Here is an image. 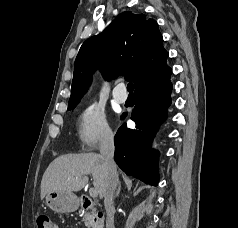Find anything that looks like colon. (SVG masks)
<instances>
[{"label":"colon","instance_id":"5ec220e1","mask_svg":"<svg viewBox=\"0 0 238 228\" xmlns=\"http://www.w3.org/2000/svg\"><path fill=\"white\" fill-rule=\"evenodd\" d=\"M37 228H56L50 216L46 213H39L36 217Z\"/></svg>","mask_w":238,"mask_h":228}]
</instances>
